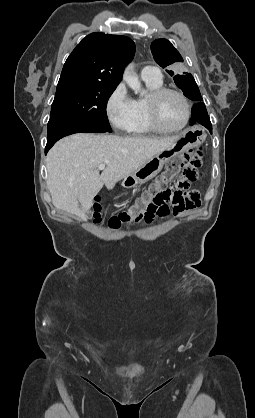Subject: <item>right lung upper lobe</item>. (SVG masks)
I'll list each match as a JSON object with an SVG mask.
<instances>
[{
	"label": "right lung upper lobe",
	"mask_w": 255,
	"mask_h": 418,
	"mask_svg": "<svg viewBox=\"0 0 255 418\" xmlns=\"http://www.w3.org/2000/svg\"><path fill=\"white\" fill-rule=\"evenodd\" d=\"M134 42L122 35L91 33L67 58L58 84L85 83L117 86L124 65L132 60Z\"/></svg>",
	"instance_id": "right-lung-upper-lobe-1"
}]
</instances>
